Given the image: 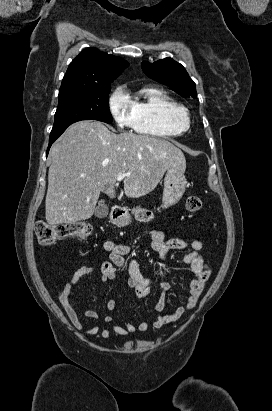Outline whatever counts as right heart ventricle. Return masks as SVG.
<instances>
[{
	"instance_id": "right-heart-ventricle-1",
	"label": "right heart ventricle",
	"mask_w": 272,
	"mask_h": 411,
	"mask_svg": "<svg viewBox=\"0 0 272 411\" xmlns=\"http://www.w3.org/2000/svg\"><path fill=\"white\" fill-rule=\"evenodd\" d=\"M128 96L133 106L132 127L136 132L166 138L179 136L188 129L187 109L165 91L149 87Z\"/></svg>"
}]
</instances>
